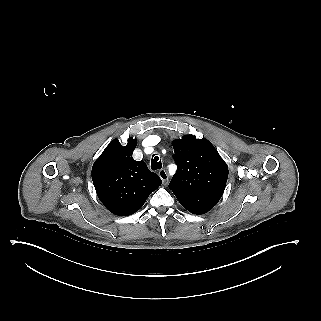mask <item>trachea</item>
Wrapping results in <instances>:
<instances>
[{
  "label": "trachea",
  "instance_id": "1",
  "mask_svg": "<svg viewBox=\"0 0 321 321\" xmlns=\"http://www.w3.org/2000/svg\"><path fill=\"white\" fill-rule=\"evenodd\" d=\"M161 167H162L161 160L159 159L158 156H156V154H154L151 159V169L152 170H160Z\"/></svg>",
  "mask_w": 321,
  "mask_h": 321
}]
</instances>
